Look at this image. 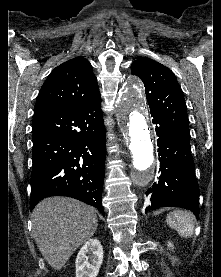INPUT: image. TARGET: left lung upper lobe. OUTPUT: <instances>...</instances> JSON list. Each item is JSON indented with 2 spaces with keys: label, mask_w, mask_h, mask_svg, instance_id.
Listing matches in <instances>:
<instances>
[{
  "label": "left lung upper lobe",
  "mask_w": 221,
  "mask_h": 277,
  "mask_svg": "<svg viewBox=\"0 0 221 277\" xmlns=\"http://www.w3.org/2000/svg\"><path fill=\"white\" fill-rule=\"evenodd\" d=\"M131 72L144 83L151 116L160 118L179 136L189 141L187 107L175 74L146 57L133 62Z\"/></svg>",
  "instance_id": "1"
}]
</instances>
